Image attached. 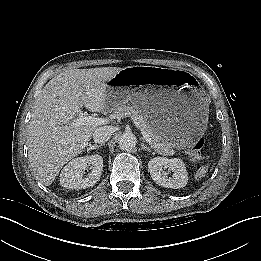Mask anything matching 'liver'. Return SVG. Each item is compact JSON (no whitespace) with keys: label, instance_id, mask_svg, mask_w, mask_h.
Returning <instances> with one entry per match:
<instances>
[{"label":"liver","instance_id":"obj_1","mask_svg":"<svg viewBox=\"0 0 261 261\" xmlns=\"http://www.w3.org/2000/svg\"><path fill=\"white\" fill-rule=\"evenodd\" d=\"M122 68L69 69L52 78L39 94L27 127L28 157L39 182L50 186L62 167L89 144L96 126L74 127L83 106L108 108L109 82Z\"/></svg>","mask_w":261,"mask_h":261}]
</instances>
